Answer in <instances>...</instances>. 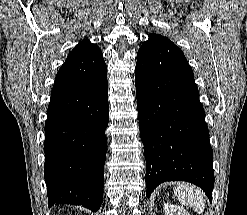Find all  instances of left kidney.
I'll return each mask as SVG.
<instances>
[{"mask_svg":"<svg viewBox=\"0 0 247 215\" xmlns=\"http://www.w3.org/2000/svg\"><path fill=\"white\" fill-rule=\"evenodd\" d=\"M163 210L165 215H190L184 208L171 203H165Z\"/></svg>","mask_w":247,"mask_h":215,"instance_id":"5707ae66","label":"left kidney"}]
</instances>
